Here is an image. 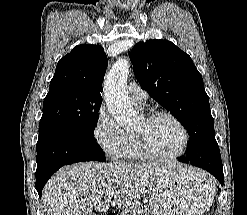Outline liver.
Here are the masks:
<instances>
[{"label":"liver","instance_id":"1","mask_svg":"<svg viewBox=\"0 0 247 215\" xmlns=\"http://www.w3.org/2000/svg\"><path fill=\"white\" fill-rule=\"evenodd\" d=\"M182 166L177 162H88L65 166L47 182L42 203L47 215H92L93 208H109L108 191L113 190L117 202L127 205L149 194L172 168Z\"/></svg>","mask_w":247,"mask_h":215}]
</instances>
